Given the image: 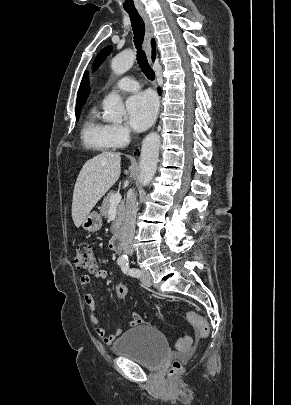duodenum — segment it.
Here are the masks:
<instances>
[{
  "label": "duodenum",
  "instance_id": "1",
  "mask_svg": "<svg viewBox=\"0 0 291 405\" xmlns=\"http://www.w3.org/2000/svg\"><path fill=\"white\" fill-rule=\"evenodd\" d=\"M109 247L114 252H119L122 248V234L121 232H116L109 242Z\"/></svg>",
  "mask_w": 291,
  "mask_h": 405
}]
</instances>
